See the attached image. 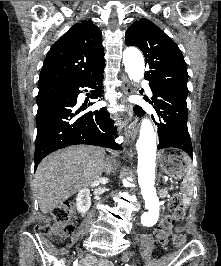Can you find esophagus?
<instances>
[{
    "label": "esophagus",
    "instance_id": "obj_1",
    "mask_svg": "<svg viewBox=\"0 0 221 266\" xmlns=\"http://www.w3.org/2000/svg\"><path fill=\"white\" fill-rule=\"evenodd\" d=\"M121 79H122L123 102L126 103L127 105V109H126L127 119L128 121H132L133 114H134L133 106L127 101V97L132 93V88H131L129 79L127 78L126 75H122ZM127 133L132 139L136 137V134H137L136 120L132 121L128 125Z\"/></svg>",
    "mask_w": 221,
    "mask_h": 266
}]
</instances>
